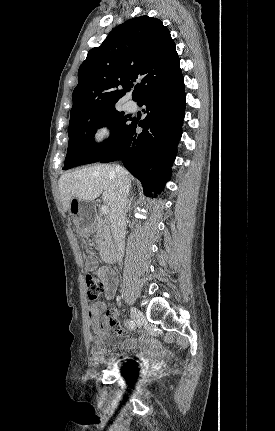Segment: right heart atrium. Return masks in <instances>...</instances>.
I'll use <instances>...</instances> for the list:
<instances>
[{
  "label": "right heart atrium",
  "mask_w": 275,
  "mask_h": 431,
  "mask_svg": "<svg viewBox=\"0 0 275 431\" xmlns=\"http://www.w3.org/2000/svg\"><path fill=\"white\" fill-rule=\"evenodd\" d=\"M109 135H110V126L108 124H101L95 129L92 135V139L94 143L100 144L105 140H107Z\"/></svg>",
  "instance_id": "d8ad5b80"
}]
</instances>
